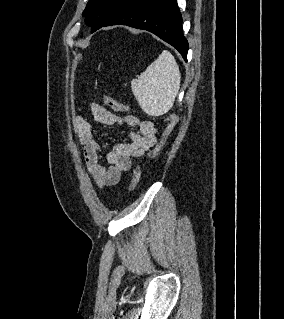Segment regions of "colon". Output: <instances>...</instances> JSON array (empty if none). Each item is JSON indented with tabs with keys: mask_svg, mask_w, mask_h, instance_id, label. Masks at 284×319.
<instances>
[{
	"mask_svg": "<svg viewBox=\"0 0 284 319\" xmlns=\"http://www.w3.org/2000/svg\"><path fill=\"white\" fill-rule=\"evenodd\" d=\"M103 103L108 106L109 108L113 109L117 112H128L130 109L127 105L123 104L122 102H119L118 100L108 96V95H102L101 97ZM167 125L165 127V130L162 135V139L160 143L149 153V156L155 157L159 154L165 143L168 141V138L170 137L174 126L177 122V119L174 115H168L166 117ZM141 171L140 167L138 165L135 166L132 172V178L129 185V191L132 192L137 187L139 181H140Z\"/></svg>",
	"mask_w": 284,
	"mask_h": 319,
	"instance_id": "5ec220e1",
	"label": "colon"
}]
</instances>
